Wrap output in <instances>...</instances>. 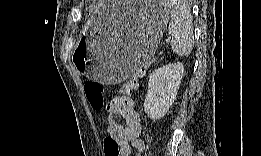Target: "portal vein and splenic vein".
<instances>
[{"label": "portal vein and splenic vein", "mask_w": 261, "mask_h": 156, "mask_svg": "<svg viewBox=\"0 0 261 156\" xmlns=\"http://www.w3.org/2000/svg\"><path fill=\"white\" fill-rule=\"evenodd\" d=\"M166 43L169 44V43H170V39H167V40H166Z\"/></svg>", "instance_id": "18ae733b"}]
</instances>
